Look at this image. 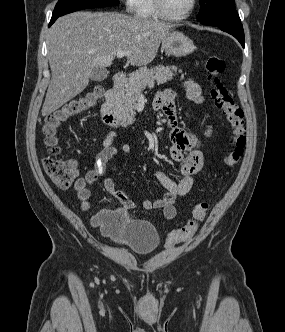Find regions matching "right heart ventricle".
Masks as SVG:
<instances>
[{
  "mask_svg": "<svg viewBox=\"0 0 285 332\" xmlns=\"http://www.w3.org/2000/svg\"><path fill=\"white\" fill-rule=\"evenodd\" d=\"M134 14L143 20H158L161 17L156 11L154 0H136Z\"/></svg>",
  "mask_w": 285,
  "mask_h": 332,
  "instance_id": "e07e8e85",
  "label": "right heart ventricle"
}]
</instances>
